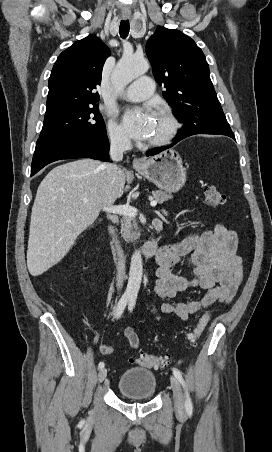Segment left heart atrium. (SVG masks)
<instances>
[{"label": "left heart atrium", "mask_w": 272, "mask_h": 452, "mask_svg": "<svg viewBox=\"0 0 272 452\" xmlns=\"http://www.w3.org/2000/svg\"><path fill=\"white\" fill-rule=\"evenodd\" d=\"M152 116L148 111L129 110L123 116V124L127 132L135 139H146L150 135Z\"/></svg>", "instance_id": "obj_1"}]
</instances>
